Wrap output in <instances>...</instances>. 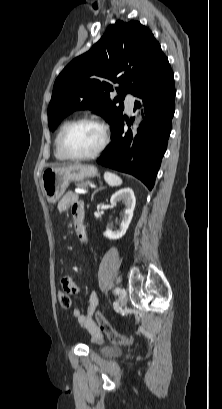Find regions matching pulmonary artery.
I'll return each mask as SVG.
<instances>
[{
    "label": "pulmonary artery",
    "mask_w": 222,
    "mask_h": 409,
    "mask_svg": "<svg viewBox=\"0 0 222 409\" xmlns=\"http://www.w3.org/2000/svg\"><path fill=\"white\" fill-rule=\"evenodd\" d=\"M125 106L128 111H131L134 106V98L129 94L125 97Z\"/></svg>",
    "instance_id": "e3ab8cb5"
}]
</instances>
